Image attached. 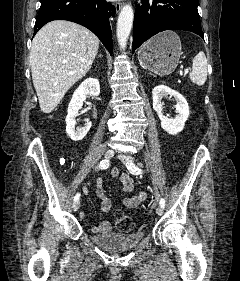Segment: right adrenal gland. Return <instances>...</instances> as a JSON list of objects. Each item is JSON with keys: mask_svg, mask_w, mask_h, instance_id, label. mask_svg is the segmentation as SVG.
Listing matches in <instances>:
<instances>
[{"mask_svg": "<svg viewBox=\"0 0 240 281\" xmlns=\"http://www.w3.org/2000/svg\"><path fill=\"white\" fill-rule=\"evenodd\" d=\"M98 57L101 58V57H102V54L100 53V54L98 55Z\"/></svg>", "mask_w": 240, "mask_h": 281, "instance_id": "right-adrenal-gland-1", "label": "right adrenal gland"}]
</instances>
